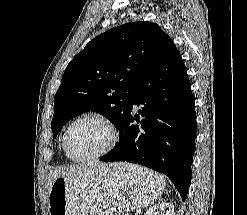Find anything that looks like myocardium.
<instances>
[{
    "label": "myocardium",
    "mask_w": 247,
    "mask_h": 215,
    "mask_svg": "<svg viewBox=\"0 0 247 215\" xmlns=\"http://www.w3.org/2000/svg\"><path fill=\"white\" fill-rule=\"evenodd\" d=\"M85 119H93V120H96V121L102 123L108 129V131L110 133V139H109L108 144L101 151L96 152V153L91 154V155L83 156V157H76V156L72 155L70 150H69L68 138H69V134H70V131L73 128V126L76 123H78L79 121H82ZM118 140H119L118 129L116 128L114 123L109 118H107L106 116L99 114V113L88 112V113H84V114L79 115L69 124V126L67 127V129L65 130L64 135H63V148H64L66 155L71 160L77 161V162L89 161V160H95V159L102 158V157L106 156L107 154H109L117 145Z\"/></svg>",
    "instance_id": "obj_1"
}]
</instances>
